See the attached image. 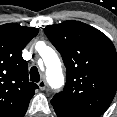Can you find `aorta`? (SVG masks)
Here are the masks:
<instances>
[{
    "label": "aorta",
    "mask_w": 117,
    "mask_h": 117,
    "mask_svg": "<svg viewBox=\"0 0 117 117\" xmlns=\"http://www.w3.org/2000/svg\"><path fill=\"white\" fill-rule=\"evenodd\" d=\"M47 71V80L52 86H60L63 81L61 62L57 53L49 46L40 51Z\"/></svg>",
    "instance_id": "aorta-1"
}]
</instances>
